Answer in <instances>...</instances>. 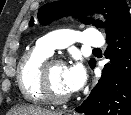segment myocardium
I'll use <instances>...</instances> for the list:
<instances>
[{
	"label": "myocardium",
	"instance_id": "obj_1",
	"mask_svg": "<svg viewBox=\"0 0 131 115\" xmlns=\"http://www.w3.org/2000/svg\"><path fill=\"white\" fill-rule=\"evenodd\" d=\"M51 65L63 66L64 62L58 59H50L45 61L41 65L39 70V79H38L39 91L44 101L46 102L55 105L66 103L70 99V96L68 95L63 97L54 96L49 90L48 81H47V70Z\"/></svg>",
	"mask_w": 131,
	"mask_h": 115
}]
</instances>
